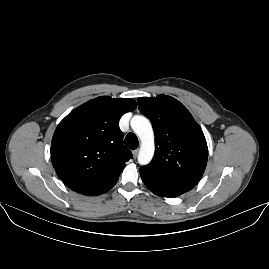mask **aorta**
<instances>
[{
	"mask_svg": "<svg viewBox=\"0 0 269 269\" xmlns=\"http://www.w3.org/2000/svg\"><path fill=\"white\" fill-rule=\"evenodd\" d=\"M131 127L140 140L138 161L141 164L149 163L155 152V136L150 121L143 116H134Z\"/></svg>",
	"mask_w": 269,
	"mask_h": 269,
	"instance_id": "obj_1",
	"label": "aorta"
}]
</instances>
